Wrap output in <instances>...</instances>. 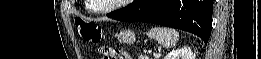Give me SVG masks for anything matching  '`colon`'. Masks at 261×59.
<instances>
[{
    "label": "colon",
    "mask_w": 261,
    "mask_h": 59,
    "mask_svg": "<svg viewBox=\"0 0 261 59\" xmlns=\"http://www.w3.org/2000/svg\"><path fill=\"white\" fill-rule=\"evenodd\" d=\"M76 27L78 29L81 37L87 42L98 44L102 39V29L99 24L95 22H84L76 21ZM100 53L102 54V59H116L122 58L127 55V52L120 50L119 48H112L102 46L100 48Z\"/></svg>",
    "instance_id": "obj_1"
}]
</instances>
